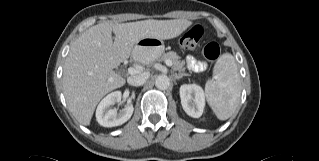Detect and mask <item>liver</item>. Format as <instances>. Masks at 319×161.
<instances>
[{
	"instance_id": "1",
	"label": "liver",
	"mask_w": 319,
	"mask_h": 161,
	"mask_svg": "<svg viewBox=\"0 0 319 161\" xmlns=\"http://www.w3.org/2000/svg\"><path fill=\"white\" fill-rule=\"evenodd\" d=\"M191 24L186 19H149L121 24L108 21L82 33L72 43L63 71V92L76 120L89 125L102 97L125 84V79L113 69L133 54L139 40L172 39Z\"/></svg>"
}]
</instances>
